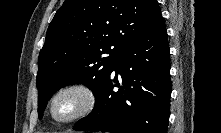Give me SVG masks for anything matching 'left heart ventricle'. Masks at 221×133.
I'll list each match as a JSON object with an SVG mask.
<instances>
[{
    "label": "left heart ventricle",
    "instance_id": "left-heart-ventricle-1",
    "mask_svg": "<svg viewBox=\"0 0 221 133\" xmlns=\"http://www.w3.org/2000/svg\"><path fill=\"white\" fill-rule=\"evenodd\" d=\"M75 104L76 101L74 98L63 97L55 105L54 114L59 117L65 116L75 107Z\"/></svg>",
    "mask_w": 221,
    "mask_h": 133
}]
</instances>
